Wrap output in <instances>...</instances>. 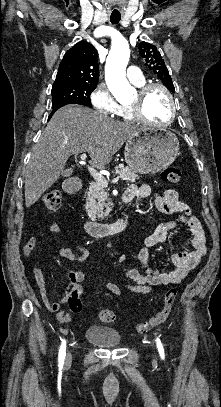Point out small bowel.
Segmentation results:
<instances>
[{
  "mask_svg": "<svg viewBox=\"0 0 221 407\" xmlns=\"http://www.w3.org/2000/svg\"><path fill=\"white\" fill-rule=\"evenodd\" d=\"M152 190L148 185H131L123 193V200L132 201L135 197L147 198ZM154 206L157 210L167 214H175L182 223L186 224L192 234V251L178 252L171 258L172 268L148 266V257L150 248L164 243L172 230L176 227V221H168L159 225L156 230L146 237L145 246L139 251L137 260L140 268H124L119 272V281L123 288L131 294H149L156 286L177 284L183 280L190 271L194 270L207 252V241L200 221L192 214L190 206L179 200V195L174 189H164L154 198ZM49 230L53 233H59L60 229L56 225H51ZM37 239L32 237L23 248V255L29 257L36 245ZM77 249L82 252L76 255L70 248L62 247L59 254L72 261H83L87 258L85 249L78 246ZM33 277L39 289L41 299L46 308L56 314L61 323H68L70 316L60 310L63 303H69L72 299L70 288L63 296L51 302L47 293V286L44 274L40 267L33 268ZM88 275V270L69 271L68 277L72 284L83 283ZM131 281L133 283H131ZM105 287L116 296L121 295V288L113 282H106ZM81 295V289H80Z\"/></svg>",
  "mask_w": 221,
  "mask_h": 407,
  "instance_id": "small-bowel-1",
  "label": "small bowel"
}]
</instances>
